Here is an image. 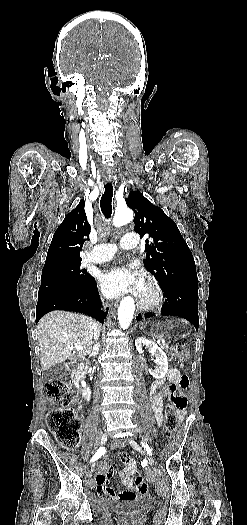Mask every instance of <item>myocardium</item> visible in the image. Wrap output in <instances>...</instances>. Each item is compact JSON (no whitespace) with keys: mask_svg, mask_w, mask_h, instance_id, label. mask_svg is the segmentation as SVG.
<instances>
[{"mask_svg":"<svg viewBox=\"0 0 247 525\" xmlns=\"http://www.w3.org/2000/svg\"><path fill=\"white\" fill-rule=\"evenodd\" d=\"M143 279L148 280L151 287L153 288V296L145 297L142 296L138 302V307L141 309H152L159 305L163 299V291L155 276L151 273H144Z\"/></svg>","mask_w":247,"mask_h":525,"instance_id":"1","label":"myocardium"}]
</instances>
